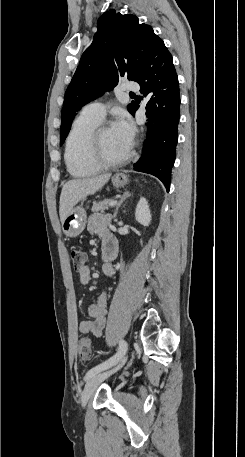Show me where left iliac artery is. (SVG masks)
Instances as JSON below:
<instances>
[{"instance_id": "1", "label": "left iliac artery", "mask_w": 245, "mask_h": 457, "mask_svg": "<svg viewBox=\"0 0 245 457\" xmlns=\"http://www.w3.org/2000/svg\"><path fill=\"white\" fill-rule=\"evenodd\" d=\"M127 352V343L124 340H120L119 342V349L118 351L109 359L105 360L104 362L94 366L91 368L85 375L84 379L88 380L91 376L99 373L102 370H105L111 366H113L116 362H118L121 357Z\"/></svg>"}]
</instances>
